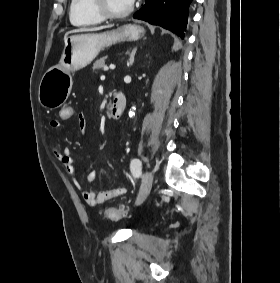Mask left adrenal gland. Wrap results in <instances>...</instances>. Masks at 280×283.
<instances>
[{
	"instance_id": "a2214340",
	"label": "left adrenal gland",
	"mask_w": 280,
	"mask_h": 283,
	"mask_svg": "<svg viewBox=\"0 0 280 283\" xmlns=\"http://www.w3.org/2000/svg\"><path fill=\"white\" fill-rule=\"evenodd\" d=\"M136 51H137V47H135L132 50V52L130 53L129 65H133V63H134V56H135Z\"/></svg>"
}]
</instances>
